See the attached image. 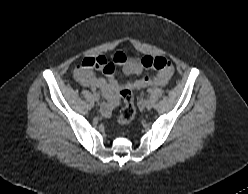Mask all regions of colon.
<instances>
[{"label":"colon","mask_w":248,"mask_h":194,"mask_svg":"<svg viewBox=\"0 0 248 194\" xmlns=\"http://www.w3.org/2000/svg\"><path fill=\"white\" fill-rule=\"evenodd\" d=\"M168 60L162 57H145L143 65L146 69L166 70L168 69ZM88 66L97 67L96 62L88 64ZM119 97L122 102V109L117 119L119 126H125L132 122L135 117L136 111L134 106V97L129 89H122L119 92Z\"/></svg>","instance_id":"5ec220e1"}]
</instances>
